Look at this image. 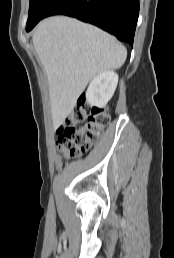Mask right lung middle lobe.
Returning <instances> with one entry per match:
<instances>
[{
  "instance_id": "obj_1",
  "label": "right lung middle lobe",
  "mask_w": 174,
  "mask_h": 258,
  "mask_svg": "<svg viewBox=\"0 0 174 258\" xmlns=\"http://www.w3.org/2000/svg\"><path fill=\"white\" fill-rule=\"evenodd\" d=\"M56 1L57 0H30L26 31H30L41 19L44 18L46 11Z\"/></svg>"
}]
</instances>
